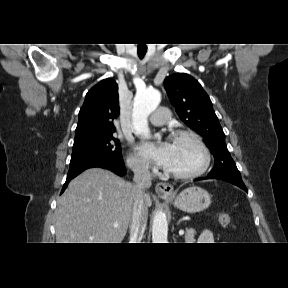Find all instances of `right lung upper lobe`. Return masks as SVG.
Segmentation results:
<instances>
[{"instance_id": "right-lung-upper-lobe-1", "label": "right lung upper lobe", "mask_w": 288, "mask_h": 288, "mask_svg": "<svg viewBox=\"0 0 288 288\" xmlns=\"http://www.w3.org/2000/svg\"><path fill=\"white\" fill-rule=\"evenodd\" d=\"M118 115V85L111 78L104 79L86 94L74 142L115 133L113 121Z\"/></svg>"}]
</instances>
